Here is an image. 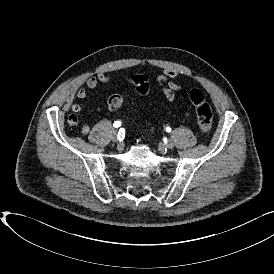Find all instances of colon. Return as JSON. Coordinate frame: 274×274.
Returning <instances> with one entry per match:
<instances>
[{"label": "colon", "instance_id": "5ec220e1", "mask_svg": "<svg viewBox=\"0 0 274 274\" xmlns=\"http://www.w3.org/2000/svg\"><path fill=\"white\" fill-rule=\"evenodd\" d=\"M131 84L136 87V89L145 93L149 89V84L147 77L143 74H137L132 77ZM190 101L195 107L197 124L200 129V132L205 134L208 133L212 126V118L213 114L209 104L207 103L204 94L198 90L193 89L189 94ZM122 103L121 99H115L111 103L109 102V107L112 110H116ZM79 124V120L77 116L70 115L68 117V125L71 127L77 126Z\"/></svg>", "mask_w": 274, "mask_h": 274}]
</instances>
